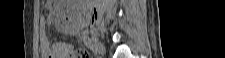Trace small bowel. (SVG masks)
<instances>
[{
  "instance_id": "1",
  "label": "small bowel",
  "mask_w": 225,
  "mask_h": 58,
  "mask_svg": "<svg viewBox=\"0 0 225 58\" xmlns=\"http://www.w3.org/2000/svg\"><path fill=\"white\" fill-rule=\"evenodd\" d=\"M56 2L51 1V6L53 7ZM54 22L53 16H48L46 18V24L52 25ZM70 34L76 33L75 27H70L67 30ZM45 58H75L74 46L68 42H57L52 46L48 44L44 48Z\"/></svg>"
}]
</instances>
